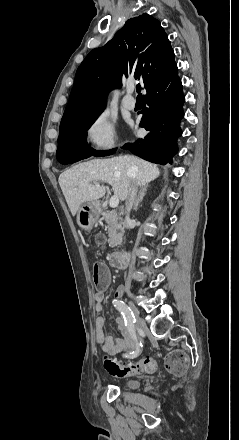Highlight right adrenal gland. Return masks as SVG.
Wrapping results in <instances>:
<instances>
[{"instance_id": "2a0ac1e0", "label": "right adrenal gland", "mask_w": 239, "mask_h": 440, "mask_svg": "<svg viewBox=\"0 0 239 440\" xmlns=\"http://www.w3.org/2000/svg\"><path fill=\"white\" fill-rule=\"evenodd\" d=\"M148 188H149V186H142V188L139 192V196H138L137 200H135L134 206H133V210H136V212H137L138 206H139L140 202H142V200L145 196V192H147Z\"/></svg>"}]
</instances>
